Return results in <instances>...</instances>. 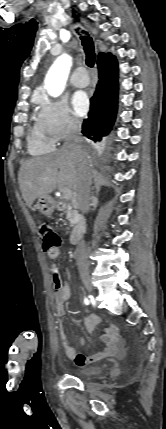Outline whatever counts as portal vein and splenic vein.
Masks as SVG:
<instances>
[{"label": "portal vein and splenic vein", "instance_id": "obj_1", "mask_svg": "<svg viewBox=\"0 0 166 429\" xmlns=\"http://www.w3.org/2000/svg\"><path fill=\"white\" fill-rule=\"evenodd\" d=\"M61 192L63 193V197L65 199H70L73 196V192L69 188H63L61 189Z\"/></svg>", "mask_w": 166, "mask_h": 429}]
</instances>
